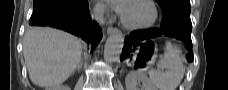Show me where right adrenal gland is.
Returning <instances> with one entry per match:
<instances>
[{
	"label": "right adrenal gland",
	"instance_id": "1",
	"mask_svg": "<svg viewBox=\"0 0 228 90\" xmlns=\"http://www.w3.org/2000/svg\"><path fill=\"white\" fill-rule=\"evenodd\" d=\"M82 65H83V60L80 61V63L78 64L76 70H78V71L80 72V70H81V68H82ZM76 70H74V71L72 72V74H74Z\"/></svg>",
	"mask_w": 228,
	"mask_h": 90
}]
</instances>
